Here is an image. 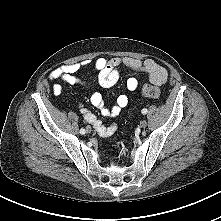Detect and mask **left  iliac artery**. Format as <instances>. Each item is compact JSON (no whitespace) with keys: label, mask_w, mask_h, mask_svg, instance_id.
Instances as JSON below:
<instances>
[{"label":"left iliac artery","mask_w":221,"mask_h":221,"mask_svg":"<svg viewBox=\"0 0 221 221\" xmlns=\"http://www.w3.org/2000/svg\"><path fill=\"white\" fill-rule=\"evenodd\" d=\"M141 112H142V114H146L147 113V109L144 108V109H142Z\"/></svg>","instance_id":"obj_1"}]
</instances>
